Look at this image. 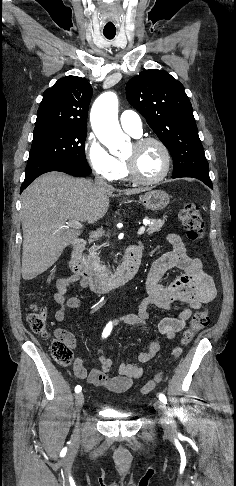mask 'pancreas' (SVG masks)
<instances>
[{"label": "pancreas", "mask_w": 236, "mask_h": 486, "mask_svg": "<svg viewBox=\"0 0 236 486\" xmlns=\"http://www.w3.org/2000/svg\"><path fill=\"white\" fill-rule=\"evenodd\" d=\"M149 222V226L147 228L148 234H152L154 232L160 231L161 227L164 225V220L161 219H153V218H146ZM101 246H92L89 250V255L86 260L87 267L96 272L105 271V266L100 264V258L98 256V250Z\"/></svg>", "instance_id": "1"}]
</instances>
